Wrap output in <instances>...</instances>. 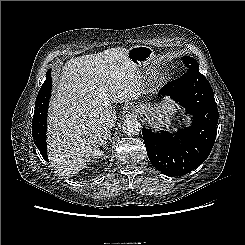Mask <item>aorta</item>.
I'll return each instance as SVG.
<instances>
[{
  "label": "aorta",
  "mask_w": 245,
  "mask_h": 245,
  "mask_svg": "<svg viewBox=\"0 0 245 245\" xmlns=\"http://www.w3.org/2000/svg\"><path fill=\"white\" fill-rule=\"evenodd\" d=\"M122 128L125 134L129 136L138 135L141 131V124L136 118H127Z\"/></svg>",
  "instance_id": "1"
}]
</instances>
